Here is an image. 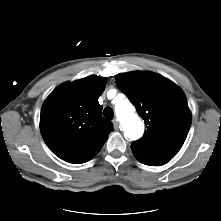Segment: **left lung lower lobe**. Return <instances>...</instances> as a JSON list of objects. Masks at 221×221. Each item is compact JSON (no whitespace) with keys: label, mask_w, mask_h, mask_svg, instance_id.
Here are the masks:
<instances>
[{"label":"left lung lower lobe","mask_w":221,"mask_h":221,"mask_svg":"<svg viewBox=\"0 0 221 221\" xmlns=\"http://www.w3.org/2000/svg\"><path fill=\"white\" fill-rule=\"evenodd\" d=\"M133 154H134V156H135L140 162H142L143 164H146V165H149V166H151V165L156 166V165H154V164H151V163L145 161L144 158H143L139 153L133 151Z\"/></svg>","instance_id":"left-lung-lower-lobe-1"}]
</instances>
